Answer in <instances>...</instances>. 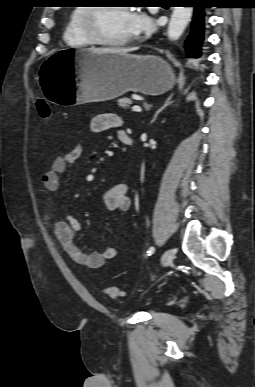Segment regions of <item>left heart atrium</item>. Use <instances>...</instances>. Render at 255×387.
Wrapping results in <instances>:
<instances>
[{"label": "left heart atrium", "instance_id": "obj_1", "mask_svg": "<svg viewBox=\"0 0 255 387\" xmlns=\"http://www.w3.org/2000/svg\"><path fill=\"white\" fill-rule=\"evenodd\" d=\"M130 29L132 35L148 34L153 30V23L145 14L131 13Z\"/></svg>", "mask_w": 255, "mask_h": 387}]
</instances>
